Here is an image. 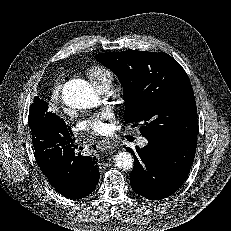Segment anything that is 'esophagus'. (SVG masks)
I'll use <instances>...</instances> for the list:
<instances>
[{"instance_id": "34e87169", "label": "esophagus", "mask_w": 231, "mask_h": 231, "mask_svg": "<svg viewBox=\"0 0 231 231\" xmlns=\"http://www.w3.org/2000/svg\"><path fill=\"white\" fill-rule=\"evenodd\" d=\"M100 143H101L102 147H104L106 149H112L115 146L114 141L107 140V139L102 140Z\"/></svg>"}]
</instances>
